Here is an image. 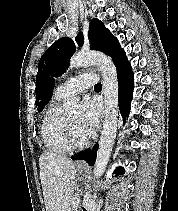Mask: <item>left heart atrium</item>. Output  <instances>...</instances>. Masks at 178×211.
<instances>
[{"instance_id":"1","label":"left heart atrium","mask_w":178,"mask_h":211,"mask_svg":"<svg viewBox=\"0 0 178 211\" xmlns=\"http://www.w3.org/2000/svg\"><path fill=\"white\" fill-rule=\"evenodd\" d=\"M99 108L96 102L91 98L83 100L81 105V114L79 116V127L89 136L94 131L98 123Z\"/></svg>"}]
</instances>
